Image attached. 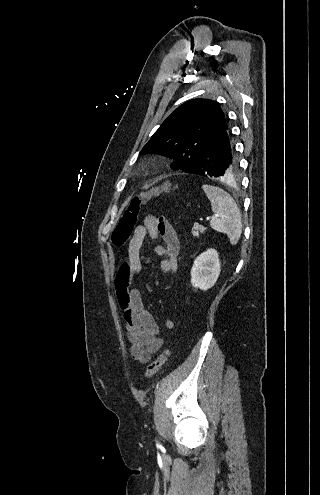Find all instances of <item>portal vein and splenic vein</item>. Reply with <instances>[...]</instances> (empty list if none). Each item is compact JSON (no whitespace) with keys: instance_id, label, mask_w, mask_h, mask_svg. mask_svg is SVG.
<instances>
[{"instance_id":"1","label":"portal vein and splenic vein","mask_w":320,"mask_h":495,"mask_svg":"<svg viewBox=\"0 0 320 495\" xmlns=\"http://www.w3.org/2000/svg\"><path fill=\"white\" fill-rule=\"evenodd\" d=\"M215 217H216V216H214V215H213L212 217H207V218H206V220H208V221H209L210 219H214Z\"/></svg>"}]
</instances>
